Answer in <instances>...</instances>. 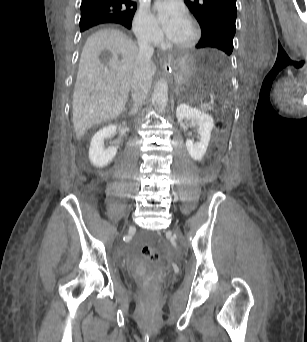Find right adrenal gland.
Instances as JSON below:
<instances>
[{"instance_id": "1", "label": "right adrenal gland", "mask_w": 307, "mask_h": 342, "mask_svg": "<svg viewBox=\"0 0 307 342\" xmlns=\"http://www.w3.org/2000/svg\"><path fill=\"white\" fill-rule=\"evenodd\" d=\"M130 114H136V108H132Z\"/></svg>"}]
</instances>
